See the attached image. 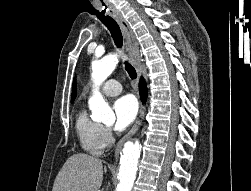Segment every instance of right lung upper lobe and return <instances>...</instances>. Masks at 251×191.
<instances>
[{"label":"right lung upper lobe","mask_w":251,"mask_h":191,"mask_svg":"<svg viewBox=\"0 0 251 191\" xmlns=\"http://www.w3.org/2000/svg\"><path fill=\"white\" fill-rule=\"evenodd\" d=\"M76 79L74 78V81H73V87H72V97H71V103H73V101L75 100L76 98Z\"/></svg>","instance_id":"cb5924a9"}]
</instances>
